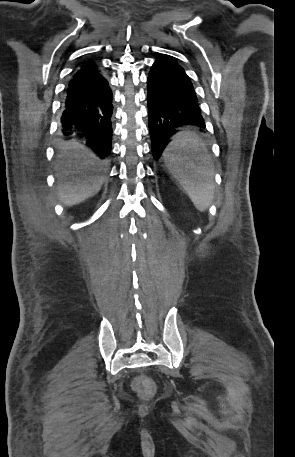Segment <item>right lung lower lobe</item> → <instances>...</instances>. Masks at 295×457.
<instances>
[{
  "instance_id": "98d812e1",
  "label": "right lung lower lobe",
  "mask_w": 295,
  "mask_h": 457,
  "mask_svg": "<svg viewBox=\"0 0 295 457\" xmlns=\"http://www.w3.org/2000/svg\"><path fill=\"white\" fill-rule=\"evenodd\" d=\"M112 91L98 64L87 60L74 71L66 88L61 123L84 132L79 136L102 158L111 151Z\"/></svg>"
}]
</instances>
